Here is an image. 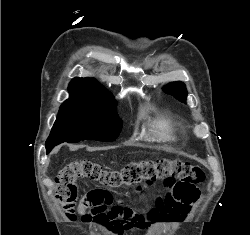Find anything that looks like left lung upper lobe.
I'll use <instances>...</instances> for the list:
<instances>
[{"mask_svg": "<svg viewBox=\"0 0 250 235\" xmlns=\"http://www.w3.org/2000/svg\"><path fill=\"white\" fill-rule=\"evenodd\" d=\"M163 91L173 95L176 99H178L181 102H186L187 90L185 85L180 81L166 85L165 87H163Z\"/></svg>", "mask_w": 250, "mask_h": 235, "instance_id": "obj_1", "label": "left lung upper lobe"}]
</instances>
